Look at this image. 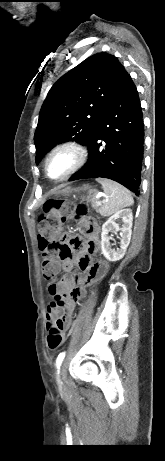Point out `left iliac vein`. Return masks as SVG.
Here are the masks:
<instances>
[{
	"label": "left iliac vein",
	"instance_id": "4c4485c4",
	"mask_svg": "<svg viewBox=\"0 0 165 461\" xmlns=\"http://www.w3.org/2000/svg\"><path fill=\"white\" fill-rule=\"evenodd\" d=\"M68 360H64L59 368L58 374V382L62 388L66 387L67 377H66V368H67Z\"/></svg>",
	"mask_w": 165,
	"mask_h": 461
}]
</instances>
